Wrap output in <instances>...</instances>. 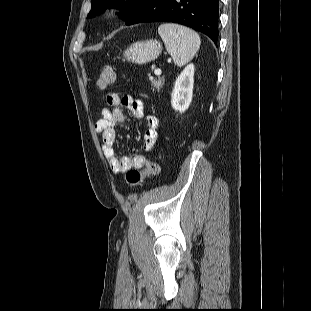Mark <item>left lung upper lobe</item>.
Returning <instances> with one entry per match:
<instances>
[{"label": "left lung upper lobe", "mask_w": 311, "mask_h": 311, "mask_svg": "<svg viewBox=\"0 0 311 311\" xmlns=\"http://www.w3.org/2000/svg\"><path fill=\"white\" fill-rule=\"evenodd\" d=\"M141 1L142 0H91L92 7L88 14V18L99 15L107 8L115 7L122 11L121 17L124 20Z\"/></svg>", "instance_id": "1"}]
</instances>
